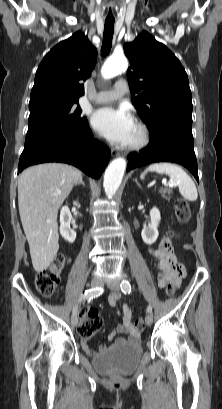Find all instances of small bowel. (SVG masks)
Listing matches in <instances>:
<instances>
[{"mask_svg":"<svg viewBox=\"0 0 222 409\" xmlns=\"http://www.w3.org/2000/svg\"><path fill=\"white\" fill-rule=\"evenodd\" d=\"M150 254L156 261L158 286L160 288H165L167 284H173L176 287H179L185 275V261L180 260L175 255L171 241L168 238L163 237L157 248L150 249ZM121 297L122 295L120 292H112L108 296L109 305L115 308L118 315L122 318V323L109 333L108 340L113 341L116 345L138 343L140 341V336L132 322V310L126 304L119 307ZM117 334H122L124 336L116 337ZM82 347L89 356L95 355L96 351L88 345L85 339L82 341ZM107 349V345H101L99 347L101 353L105 352Z\"/></svg>","mask_w":222,"mask_h":409,"instance_id":"1","label":"small bowel"}]
</instances>
